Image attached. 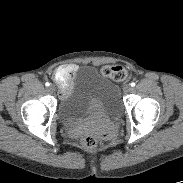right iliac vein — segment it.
<instances>
[{
	"instance_id": "63e3f726",
	"label": "right iliac vein",
	"mask_w": 183,
	"mask_h": 183,
	"mask_svg": "<svg viewBox=\"0 0 183 183\" xmlns=\"http://www.w3.org/2000/svg\"><path fill=\"white\" fill-rule=\"evenodd\" d=\"M48 89H49V91H51V92H54V91H55V87H54L53 85H50Z\"/></svg>"
}]
</instances>
